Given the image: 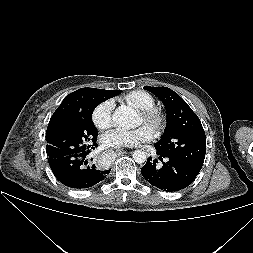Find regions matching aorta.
<instances>
[{"label": "aorta", "instance_id": "762f6f07", "mask_svg": "<svg viewBox=\"0 0 253 253\" xmlns=\"http://www.w3.org/2000/svg\"><path fill=\"white\" fill-rule=\"evenodd\" d=\"M113 123L122 128H133L137 122V113L134 109L127 106L118 107L112 115ZM133 159L136 163L142 164L146 161V153L142 150H136L133 153Z\"/></svg>", "mask_w": 253, "mask_h": 253}]
</instances>
